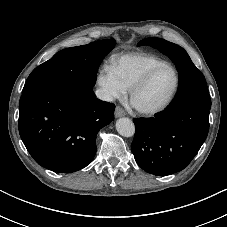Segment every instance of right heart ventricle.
<instances>
[{"label":"right heart ventricle","instance_id":"obj_1","mask_svg":"<svg viewBox=\"0 0 227 227\" xmlns=\"http://www.w3.org/2000/svg\"><path fill=\"white\" fill-rule=\"evenodd\" d=\"M166 63L154 54L135 52L116 56L111 67L121 85L130 89L149 70Z\"/></svg>","mask_w":227,"mask_h":227}]
</instances>
